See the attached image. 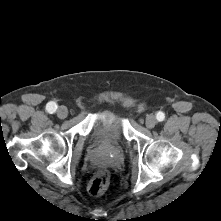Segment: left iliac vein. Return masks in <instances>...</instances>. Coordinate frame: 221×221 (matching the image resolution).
<instances>
[{
  "label": "left iliac vein",
  "mask_w": 221,
  "mask_h": 221,
  "mask_svg": "<svg viewBox=\"0 0 221 221\" xmlns=\"http://www.w3.org/2000/svg\"><path fill=\"white\" fill-rule=\"evenodd\" d=\"M157 123V120L154 115H148L145 120V125L147 128H153Z\"/></svg>",
  "instance_id": "4c4485c4"
}]
</instances>
